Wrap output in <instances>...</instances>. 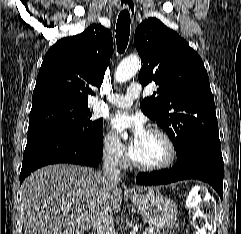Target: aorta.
<instances>
[{"mask_svg": "<svg viewBox=\"0 0 241 234\" xmlns=\"http://www.w3.org/2000/svg\"><path fill=\"white\" fill-rule=\"evenodd\" d=\"M140 67L141 61L138 57L131 56L124 59L116 69L115 80L120 83L128 81L138 72Z\"/></svg>", "mask_w": 241, "mask_h": 234, "instance_id": "aorta-1", "label": "aorta"}]
</instances>
